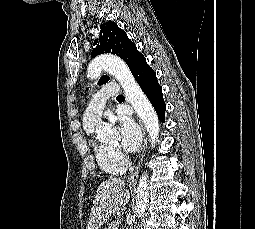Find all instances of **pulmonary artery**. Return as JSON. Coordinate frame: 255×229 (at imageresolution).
<instances>
[{
  "mask_svg": "<svg viewBox=\"0 0 255 229\" xmlns=\"http://www.w3.org/2000/svg\"><path fill=\"white\" fill-rule=\"evenodd\" d=\"M119 93V87L116 84L109 83L101 90L97 91L84 113L83 121L88 125H97L101 121L106 100L114 97Z\"/></svg>",
  "mask_w": 255,
  "mask_h": 229,
  "instance_id": "obj_1",
  "label": "pulmonary artery"
}]
</instances>
